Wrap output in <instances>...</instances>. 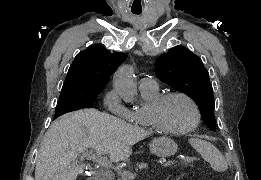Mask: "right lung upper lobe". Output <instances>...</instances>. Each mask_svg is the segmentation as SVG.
Returning <instances> with one entry per match:
<instances>
[{"label": "right lung upper lobe", "mask_w": 261, "mask_h": 180, "mask_svg": "<svg viewBox=\"0 0 261 180\" xmlns=\"http://www.w3.org/2000/svg\"><path fill=\"white\" fill-rule=\"evenodd\" d=\"M126 57V53H110L101 45H92L76 55L62 88L103 90Z\"/></svg>", "instance_id": "obj_1"}]
</instances>
